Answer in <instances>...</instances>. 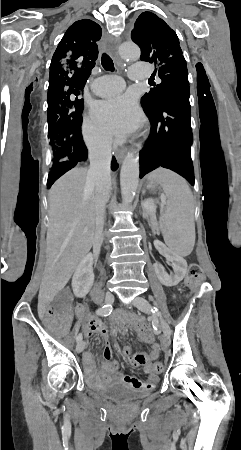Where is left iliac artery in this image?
I'll return each instance as SVG.
<instances>
[{
    "instance_id": "44dca946",
    "label": "left iliac artery",
    "mask_w": 241,
    "mask_h": 450,
    "mask_svg": "<svg viewBox=\"0 0 241 450\" xmlns=\"http://www.w3.org/2000/svg\"><path fill=\"white\" fill-rule=\"evenodd\" d=\"M152 312L161 316V313L158 311V309L156 307H154V310H152Z\"/></svg>"
}]
</instances>
